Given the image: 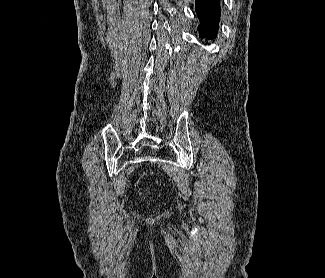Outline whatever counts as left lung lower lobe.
Returning <instances> with one entry per match:
<instances>
[{"label":"left lung lower lobe","mask_w":325,"mask_h":278,"mask_svg":"<svg viewBox=\"0 0 325 278\" xmlns=\"http://www.w3.org/2000/svg\"><path fill=\"white\" fill-rule=\"evenodd\" d=\"M196 12L200 19V32L206 38L216 37L220 19L219 0H196Z\"/></svg>","instance_id":"obj_1"}]
</instances>
